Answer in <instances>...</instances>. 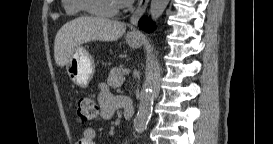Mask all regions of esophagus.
Wrapping results in <instances>:
<instances>
[{
    "mask_svg": "<svg viewBox=\"0 0 273 144\" xmlns=\"http://www.w3.org/2000/svg\"><path fill=\"white\" fill-rule=\"evenodd\" d=\"M149 0H140L138 3V6L135 10V12L132 14L131 16V24L133 26H136L138 23V20L140 19V17L144 14L147 5H148ZM132 33H135V31L133 30Z\"/></svg>",
    "mask_w": 273,
    "mask_h": 144,
    "instance_id": "1",
    "label": "esophagus"
}]
</instances>
